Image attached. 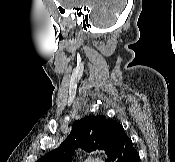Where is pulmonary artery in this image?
I'll use <instances>...</instances> for the list:
<instances>
[{"mask_svg":"<svg viewBox=\"0 0 175 162\" xmlns=\"http://www.w3.org/2000/svg\"><path fill=\"white\" fill-rule=\"evenodd\" d=\"M88 162H103V161L98 160V159H92V160H89Z\"/></svg>","mask_w":175,"mask_h":162,"instance_id":"obj_1","label":"pulmonary artery"}]
</instances>
